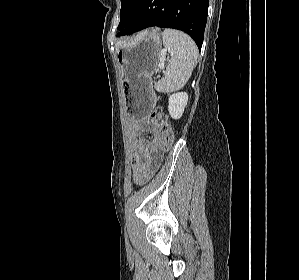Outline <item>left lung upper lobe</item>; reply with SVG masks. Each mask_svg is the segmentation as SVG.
<instances>
[{"mask_svg":"<svg viewBox=\"0 0 299 280\" xmlns=\"http://www.w3.org/2000/svg\"><path fill=\"white\" fill-rule=\"evenodd\" d=\"M136 1L137 0H121V19L118 26V29L121 30V32L128 26V24L132 20ZM121 32H119L117 36H119Z\"/></svg>","mask_w":299,"mask_h":280,"instance_id":"1","label":"left lung upper lobe"}]
</instances>
